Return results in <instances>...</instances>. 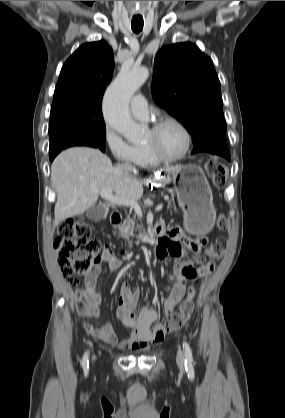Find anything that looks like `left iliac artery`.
I'll return each mask as SVG.
<instances>
[{
	"instance_id": "obj_1",
	"label": "left iliac artery",
	"mask_w": 285,
	"mask_h": 418,
	"mask_svg": "<svg viewBox=\"0 0 285 418\" xmlns=\"http://www.w3.org/2000/svg\"><path fill=\"white\" fill-rule=\"evenodd\" d=\"M183 348L185 352V369L188 373V376L193 378L194 377V368H193V356L192 351L187 342H183Z\"/></svg>"
}]
</instances>
